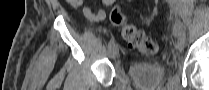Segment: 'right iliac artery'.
Returning <instances> with one entry per match:
<instances>
[{
    "instance_id": "right-iliac-artery-1",
    "label": "right iliac artery",
    "mask_w": 209,
    "mask_h": 90,
    "mask_svg": "<svg viewBox=\"0 0 209 90\" xmlns=\"http://www.w3.org/2000/svg\"><path fill=\"white\" fill-rule=\"evenodd\" d=\"M114 44H115V41H114V38L112 37L109 41V44H108L109 50L114 46Z\"/></svg>"
}]
</instances>
